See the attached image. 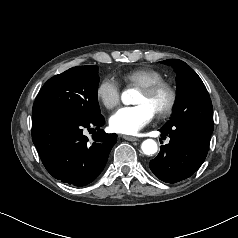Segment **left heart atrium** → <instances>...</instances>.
Listing matches in <instances>:
<instances>
[{
	"label": "left heart atrium",
	"mask_w": 238,
	"mask_h": 238,
	"mask_svg": "<svg viewBox=\"0 0 238 238\" xmlns=\"http://www.w3.org/2000/svg\"><path fill=\"white\" fill-rule=\"evenodd\" d=\"M155 116V111L147 103H140L135 106H125L119 108L110 117L111 128L122 134H135Z\"/></svg>",
	"instance_id": "obj_1"
}]
</instances>
